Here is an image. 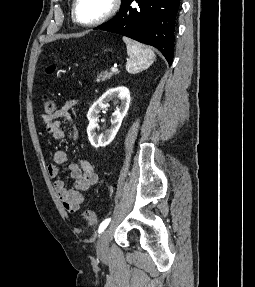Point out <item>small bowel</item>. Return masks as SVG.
<instances>
[{
  "label": "small bowel",
  "mask_w": 255,
  "mask_h": 287,
  "mask_svg": "<svg viewBox=\"0 0 255 287\" xmlns=\"http://www.w3.org/2000/svg\"><path fill=\"white\" fill-rule=\"evenodd\" d=\"M78 100L67 101L63 106L54 113L43 116V123L46 132L54 140H62L64 131L61 126V119L72 120L71 111L77 106ZM74 138L77 133L74 132ZM68 160L67 152L57 150L53 155V164L47 167L50 177L57 178L61 173V166ZM69 176L73 180V186L69 187L62 178H57L54 182L55 192L62 203L63 209L70 214L77 213L84 203V193L98 182V175L94 171L92 164L85 159L79 160L78 163H71L67 166Z\"/></svg>",
  "instance_id": "1"
}]
</instances>
